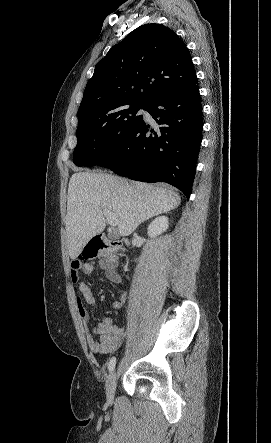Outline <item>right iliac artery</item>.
I'll return each mask as SVG.
<instances>
[{"mask_svg":"<svg viewBox=\"0 0 271 443\" xmlns=\"http://www.w3.org/2000/svg\"><path fill=\"white\" fill-rule=\"evenodd\" d=\"M115 365H116V357H112V358L110 359L109 364H108L109 372H112V371L114 370Z\"/></svg>","mask_w":271,"mask_h":443,"instance_id":"1","label":"right iliac artery"}]
</instances>
